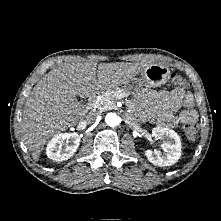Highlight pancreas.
<instances>
[{"instance_id": "pancreas-1", "label": "pancreas", "mask_w": 221, "mask_h": 221, "mask_svg": "<svg viewBox=\"0 0 221 221\" xmlns=\"http://www.w3.org/2000/svg\"><path fill=\"white\" fill-rule=\"evenodd\" d=\"M127 95L128 94L122 89L107 91L95 102V106L92 109H97L99 112L112 110L116 107L115 102L127 97Z\"/></svg>"}]
</instances>
